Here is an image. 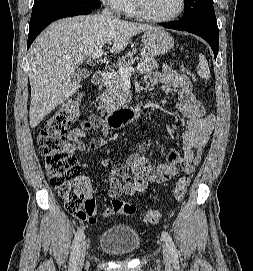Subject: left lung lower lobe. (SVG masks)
I'll return each mask as SVG.
<instances>
[{"label":"left lung lower lobe","instance_id":"0a47b994","mask_svg":"<svg viewBox=\"0 0 253 271\" xmlns=\"http://www.w3.org/2000/svg\"><path fill=\"white\" fill-rule=\"evenodd\" d=\"M164 27L174 30L187 31L202 37L211 46L216 59L219 48V30L215 16H210L188 25L183 24L182 22H176L165 25Z\"/></svg>","mask_w":253,"mask_h":271}]
</instances>
